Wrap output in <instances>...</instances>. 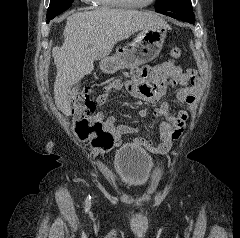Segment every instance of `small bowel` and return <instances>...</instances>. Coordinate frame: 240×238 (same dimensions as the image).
I'll return each mask as SVG.
<instances>
[{
    "label": "small bowel",
    "mask_w": 240,
    "mask_h": 238,
    "mask_svg": "<svg viewBox=\"0 0 240 238\" xmlns=\"http://www.w3.org/2000/svg\"><path fill=\"white\" fill-rule=\"evenodd\" d=\"M198 84L199 79L194 69L188 68L183 71L175 61L168 60L155 67L136 71L135 79L127 82L125 87L132 96L155 102L164 96L168 86L180 85L182 88L177 93V101L180 106H184L195 103ZM121 86L120 82L107 83L103 88V92L96 98L97 105H103L107 98ZM148 112V109L143 107L139 110V115L145 117ZM154 114L163 118V122L159 126V140L136 138L134 142L151 152L164 154L170 149L172 141L181 136L184 123L189 114L182 108L178 110L177 114L171 113L166 102L162 103ZM92 120L103 122V113H96ZM104 125L106 130L113 136V143L104 150L121 145L125 135L138 132L137 128L120 124L113 116L108 117L104 121Z\"/></svg>",
    "instance_id": "small-bowel-1"
}]
</instances>
